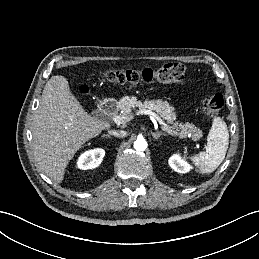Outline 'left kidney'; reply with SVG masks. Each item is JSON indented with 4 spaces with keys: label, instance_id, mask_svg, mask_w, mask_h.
Masks as SVG:
<instances>
[{
    "label": "left kidney",
    "instance_id": "1",
    "mask_svg": "<svg viewBox=\"0 0 259 259\" xmlns=\"http://www.w3.org/2000/svg\"><path fill=\"white\" fill-rule=\"evenodd\" d=\"M170 167L178 173H187L190 171L191 166L182 159L178 154H174L169 158Z\"/></svg>",
    "mask_w": 259,
    "mask_h": 259
}]
</instances>
